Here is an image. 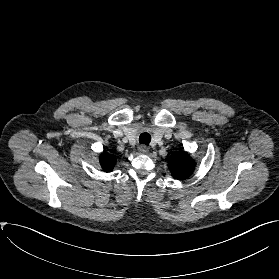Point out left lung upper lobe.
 I'll return each mask as SVG.
<instances>
[{"label": "left lung upper lobe", "mask_w": 279, "mask_h": 279, "mask_svg": "<svg viewBox=\"0 0 279 279\" xmlns=\"http://www.w3.org/2000/svg\"><path fill=\"white\" fill-rule=\"evenodd\" d=\"M168 167L174 178L185 179L192 174L195 162L186 152H179L169 159Z\"/></svg>", "instance_id": "obj_1"}]
</instances>
